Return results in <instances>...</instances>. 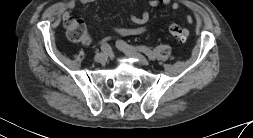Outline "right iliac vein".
Segmentation results:
<instances>
[{
    "instance_id": "1",
    "label": "right iliac vein",
    "mask_w": 253,
    "mask_h": 138,
    "mask_svg": "<svg viewBox=\"0 0 253 138\" xmlns=\"http://www.w3.org/2000/svg\"><path fill=\"white\" fill-rule=\"evenodd\" d=\"M94 60L97 63L104 64L107 61V55H106V53H103V52L98 53L94 57Z\"/></svg>"
}]
</instances>
